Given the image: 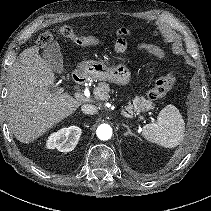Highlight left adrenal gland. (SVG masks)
Listing matches in <instances>:
<instances>
[{
	"label": "left adrenal gland",
	"instance_id": "a2214340",
	"mask_svg": "<svg viewBox=\"0 0 211 211\" xmlns=\"http://www.w3.org/2000/svg\"><path fill=\"white\" fill-rule=\"evenodd\" d=\"M123 126L127 129V132L124 134L125 136H134V137H137L129 128V126H127L126 124H123Z\"/></svg>",
	"mask_w": 211,
	"mask_h": 211
}]
</instances>
